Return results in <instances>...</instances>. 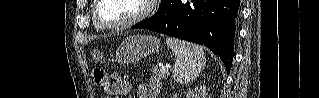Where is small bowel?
<instances>
[{"label": "small bowel", "mask_w": 319, "mask_h": 98, "mask_svg": "<svg viewBox=\"0 0 319 98\" xmlns=\"http://www.w3.org/2000/svg\"><path fill=\"white\" fill-rule=\"evenodd\" d=\"M110 83L112 86L117 88L120 94H127L132 90L131 83L118 76H113L110 79ZM159 89V81L153 79L151 84H142L137 87L138 98H156V94Z\"/></svg>", "instance_id": "c3829d8e"}]
</instances>
